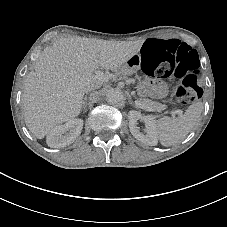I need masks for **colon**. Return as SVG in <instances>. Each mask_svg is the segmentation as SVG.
<instances>
[{"label":"colon","instance_id":"1","mask_svg":"<svg viewBox=\"0 0 227 227\" xmlns=\"http://www.w3.org/2000/svg\"><path fill=\"white\" fill-rule=\"evenodd\" d=\"M142 66L148 75L158 78L175 77L179 84L174 100L185 106L202 95L198 86L199 59L187 44L177 40L148 39L141 50Z\"/></svg>","mask_w":227,"mask_h":227}]
</instances>
